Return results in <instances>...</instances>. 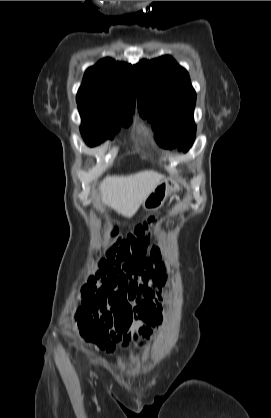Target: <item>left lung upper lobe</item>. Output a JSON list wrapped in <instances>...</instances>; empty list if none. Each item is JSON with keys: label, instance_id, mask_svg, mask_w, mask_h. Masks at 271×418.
I'll return each mask as SVG.
<instances>
[{"label": "left lung upper lobe", "instance_id": "5c2ea615", "mask_svg": "<svg viewBox=\"0 0 271 418\" xmlns=\"http://www.w3.org/2000/svg\"><path fill=\"white\" fill-rule=\"evenodd\" d=\"M133 70L139 112L153 123L157 141L186 152L196 132V93L187 71L171 56L142 60Z\"/></svg>", "mask_w": 271, "mask_h": 418}]
</instances>
